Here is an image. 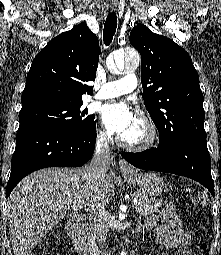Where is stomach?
Here are the masks:
<instances>
[{
    "mask_svg": "<svg viewBox=\"0 0 221 255\" xmlns=\"http://www.w3.org/2000/svg\"><path fill=\"white\" fill-rule=\"evenodd\" d=\"M125 179L128 184L145 196H159L165 187L163 179L155 173L138 174L134 172L125 174Z\"/></svg>",
    "mask_w": 221,
    "mask_h": 255,
    "instance_id": "obj_1",
    "label": "stomach"
}]
</instances>
